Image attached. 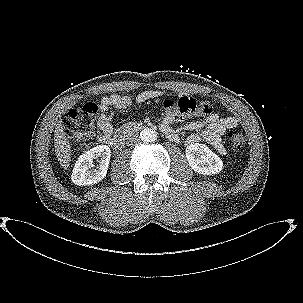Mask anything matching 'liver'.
I'll return each mask as SVG.
<instances>
[{
	"label": "liver",
	"instance_id": "liver-1",
	"mask_svg": "<svg viewBox=\"0 0 303 303\" xmlns=\"http://www.w3.org/2000/svg\"><path fill=\"white\" fill-rule=\"evenodd\" d=\"M54 146L55 153L59 160L60 165L67 169L71 161V145L64 132L62 119L57 121L54 131Z\"/></svg>",
	"mask_w": 303,
	"mask_h": 303
}]
</instances>
